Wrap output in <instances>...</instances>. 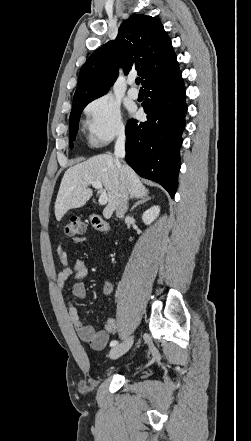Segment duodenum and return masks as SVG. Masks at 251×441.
Returning a JSON list of instances; mask_svg holds the SVG:
<instances>
[{
  "label": "duodenum",
  "mask_w": 251,
  "mask_h": 441,
  "mask_svg": "<svg viewBox=\"0 0 251 441\" xmlns=\"http://www.w3.org/2000/svg\"><path fill=\"white\" fill-rule=\"evenodd\" d=\"M91 223L92 225L101 232H107L109 229L108 224L104 221L99 215L93 214L91 215Z\"/></svg>",
  "instance_id": "duodenum-1"
}]
</instances>
